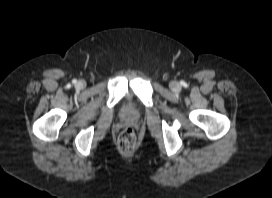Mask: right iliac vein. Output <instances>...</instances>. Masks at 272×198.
<instances>
[{
  "label": "right iliac vein",
  "instance_id": "right-iliac-vein-1",
  "mask_svg": "<svg viewBox=\"0 0 272 198\" xmlns=\"http://www.w3.org/2000/svg\"><path fill=\"white\" fill-rule=\"evenodd\" d=\"M78 85H79V86H82V85H83V83H82V82H79V83H78Z\"/></svg>",
  "mask_w": 272,
  "mask_h": 198
}]
</instances>
